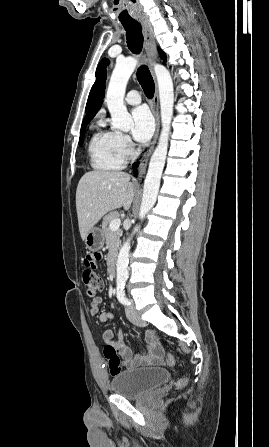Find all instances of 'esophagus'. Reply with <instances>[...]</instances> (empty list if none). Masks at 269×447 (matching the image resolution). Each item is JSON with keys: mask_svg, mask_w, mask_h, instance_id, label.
<instances>
[{"mask_svg": "<svg viewBox=\"0 0 269 447\" xmlns=\"http://www.w3.org/2000/svg\"><path fill=\"white\" fill-rule=\"evenodd\" d=\"M138 18H139V22L141 23V26H142V32H143V38H144L143 43H144L145 52L151 61H155L157 59V49H156L155 38L153 35L151 25L145 15H140ZM150 72H151L152 78L154 80V85H155L153 104H152V108H151L153 115L155 117V133H154V137H153L151 146L144 153V155L142 156V158L139 162L138 169H139L140 176H142L146 171L149 157H150L152 151L154 150L155 144L158 139L159 131H160V114H159V109H158L159 108V93H158V85H157V81H156V76H155L152 66L150 67Z\"/></svg>", "mask_w": 269, "mask_h": 447, "instance_id": "obj_1", "label": "esophagus"}]
</instances>
